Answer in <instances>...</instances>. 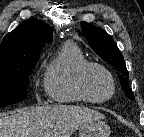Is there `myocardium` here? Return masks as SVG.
<instances>
[{"label": "myocardium", "instance_id": "f54148a6", "mask_svg": "<svg viewBox=\"0 0 144 137\" xmlns=\"http://www.w3.org/2000/svg\"><path fill=\"white\" fill-rule=\"evenodd\" d=\"M91 69L100 70L109 79L112 89H111V93L107 97L94 98L89 94L85 85V79H86L87 73ZM75 87H76L77 93L84 101L89 102V103H94V104H102V103L108 102L115 96L116 89H117L116 81L112 73L104 65L97 63V62H87L80 67L76 75Z\"/></svg>", "mask_w": 144, "mask_h": 137}]
</instances>
